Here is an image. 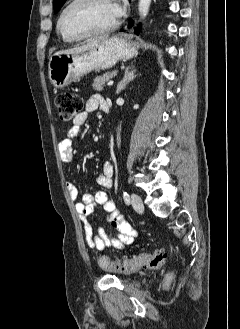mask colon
<instances>
[{
	"label": "colon",
	"mask_w": 240,
	"mask_h": 329,
	"mask_svg": "<svg viewBox=\"0 0 240 329\" xmlns=\"http://www.w3.org/2000/svg\"><path fill=\"white\" fill-rule=\"evenodd\" d=\"M55 106L58 110L59 119L63 123H71L80 114L82 100L80 97L61 93L55 97ZM167 258L165 251H155L152 253H141L123 262H111L105 257L98 260L99 266L107 271L132 273L140 268L155 270L163 266ZM174 278L173 272H168L164 280V288L168 289Z\"/></svg>",
	"instance_id": "5ec220e1"
}]
</instances>
